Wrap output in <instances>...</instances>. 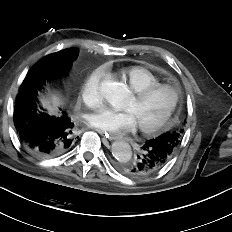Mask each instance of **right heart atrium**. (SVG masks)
<instances>
[{
    "label": "right heart atrium",
    "instance_id": "d8ad5b80",
    "mask_svg": "<svg viewBox=\"0 0 232 232\" xmlns=\"http://www.w3.org/2000/svg\"><path fill=\"white\" fill-rule=\"evenodd\" d=\"M105 69L94 70L85 80L81 95L84 101L91 107H96L102 100L101 81L104 77Z\"/></svg>",
    "mask_w": 232,
    "mask_h": 232
}]
</instances>
